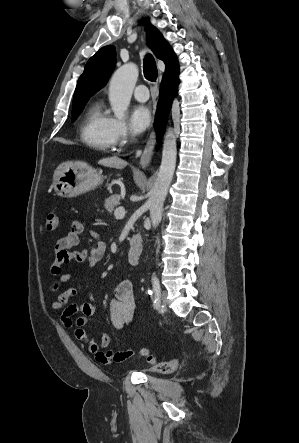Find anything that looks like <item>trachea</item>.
<instances>
[{
	"instance_id": "trachea-1",
	"label": "trachea",
	"mask_w": 299,
	"mask_h": 443,
	"mask_svg": "<svg viewBox=\"0 0 299 443\" xmlns=\"http://www.w3.org/2000/svg\"><path fill=\"white\" fill-rule=\"evenodd\" d=\"M144 76L147 80L155 82L158 77L157 66L154 57L151 54H147L144 58L143 64Z\"/></svg>"
}]
</instances>
